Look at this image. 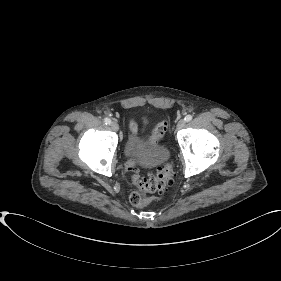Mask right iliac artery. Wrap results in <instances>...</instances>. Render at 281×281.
I'll return each mask as SVG.
<instances>
[{"label": "right iliac artery", "instance_id": "right-iliac-artery-1", "mask_svg": "<svg viewBox=\"0 0 281 281\" xmlns=\"http://www.w3.org/2000/svg\"><path fill=\"white\" fill-rule=\"evenodd\" d=\"M104 122H105V124H110V123H111V120H110L109 118H105V119H104Z\"/></svg>", "mask_w": 281, "mask_h": 281}]
</instances>
